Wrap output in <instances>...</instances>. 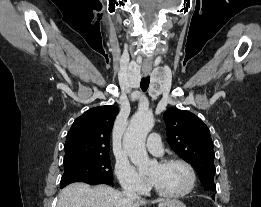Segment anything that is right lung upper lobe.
<instances>
[{"instance_id": "right-lung-upper-lobe-1", "label": "right lung upper lobe", "mask_w": 261, "mask_h": 207, "mask_svg": "<svg viewBox=\"0 0 261 207\" xmlns=\"http://www.w3.org/2000/svg\"><path fill=\"white\" fill-rule=\"evenodd\" d=\"M118 112L115 106H99L78 117L67 134L64 161L109 155L110 133Z\"/></svg>"}]
</instances>
